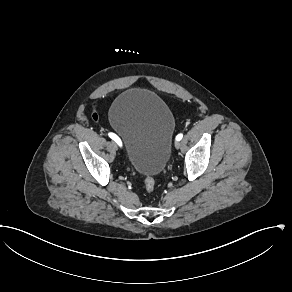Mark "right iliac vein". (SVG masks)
Returning <instances> with one entry per match:
<instances>
[{
    "instance_id": "63e3f726",
    "label": "right iliac vein",
    "mask_w": 292,
    "mask_h": 292,
    "mask_svg": "<svg viewBox=\"0 0 292 292\" xmlns=\"http://www.w3.org/2000/svg\"><path fill=\"white\" fill-rule=\"evenodd\" d=\"M111 146L113 149L117 150V144L114 141L111 142Z\"/></svg>"
}]
</instances>
